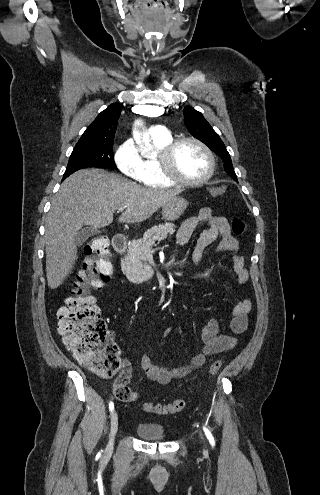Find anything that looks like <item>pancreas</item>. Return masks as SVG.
Returning <instances> with one entry per match:
<instances>
[{
	"label": "pancreas",
	"mask_w": 320,
	"mask_h": 495,
	"mask_svg": "<svg viewBox=\"0 0 320 495\" xmlns=\"http://www.w3.org/2000/svg\"><path fill=\"white\" fill-rule=\"evenodd\" d=\"M175 232L173 223H165L147 230L142 239L132 240L128 244L127 255L121 260L122 272L132 283L143 281L142 272L149 266L146 263V252L158 240L161 241Z\"/></svg>",
	"instance_id": "1"
}]
</instances>
